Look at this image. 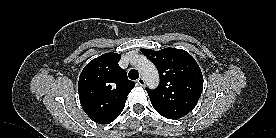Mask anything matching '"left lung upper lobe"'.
Instances as JSON below:
<instances>
[{"mask_svg":"<svg viewBox=\"0 0 276 138\" xmlns=\"http://www.w3.org/2000/svg\"><path fill=\"white\" fill-rule=\"evenodd\" d=\"M157 67L160 83L156 90L146 88L151 104L163 117L179 119L197 104L203 89V76L195 59L186 51L164 48L141 49Z\"/></svg>","mask_w":276,"mask_h":138,"instance_id":"1","label":"left lung upper lobe"}]
</instances>
